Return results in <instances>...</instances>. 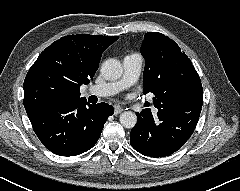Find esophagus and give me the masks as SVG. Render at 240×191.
Wrapping results in <instances>:
<instances>
[{
  "mask_svg": "<svg viewBox=\"0 0 240 191\" xmlns=\"http://www.w3.org/2000/svg\"><path fill=\"white\" fill-rule=\"evenodd\" d=\"M123 111V108H121L120 106H115L114 107V114L118 115Z\"/></svg>",
  "mask_w": 240,
  "mask_h": 191,
  "instance_id": "1",
  "label": "esophagus"
}]
</instances>
